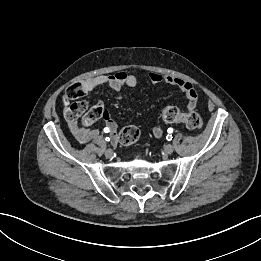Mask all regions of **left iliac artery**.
Returning <instances> with one entry per match:
<instances>
[{
  "label": "left iliac artery",
  "instance_id": "obj_1",
  "mask_svg": "<svg viewBox=\"0 0 261 261\" xmlns=\"http://www.w3.org/2000/svg\"><path fill=\"white\" fill-rule=\"evenodd\" d=\"M168 133H172L173 132V129L172 128H168ZM172 135H167V137H166V139L168 140V141H170V140H172Z\"/></svg>",
  "mask_w": 261,
  "mask_h": 261
}]
</instances>
